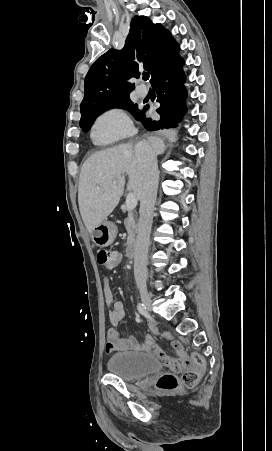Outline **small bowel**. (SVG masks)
<instances>
[{"label": "small bowel", "mask_w": 272, "mask_h": 451, "mask_svg": "<svg viewBox=\"0 0 272 451\" xmlns=\"http://www.w3.org/2000/svg\"><path fill=\"white\" fill-rule=\"evenodd\" d=\"M102 284L105 300L111 308L109 313V320L113 326L107 332V352L125 350L152 352L156 357L159 358L160 352L164 351L162 348L155 344L154 338L150 334H145L142 342H139L134 336H120L116 327L125 317L123 303L120 300L114 298L113 287L109 276L105 275L103 277ZM164 336L166 338H172V334L169 332L164 333ZM173 344H176L178 348H184L182 343L177 340H173L171 342V346Z\"/></svg>", "instance_id": "small-bowel-1"}]
</instances>
